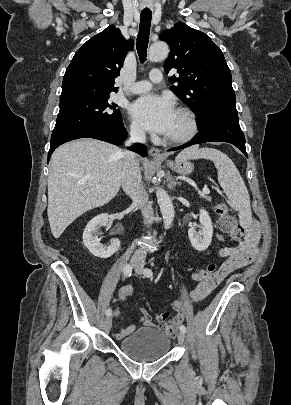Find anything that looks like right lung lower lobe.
I'll list each match as a JSON object with an SVG mask.
<instances>
[{
  "mask_svg": "<svg viewBox=\"0 0 291 405\" xmlns=\"http://www.w3.org/2000/svg\"><path fill=\"white\" fill-rule=\"evenodd\" d=\"M127 137V132L126 129L123 126V122L117 126H113L111 128H102V129H96V128H86V129H80L76 130L67 134H64L62 136H59L53 140H51L50 143V150L48 154V162L50 160L51 154L53 151L61 144L79 139V138H94V139H99L102 141H106L109 143H112L114 145H120L122 142L126 139ZM132 151L137 152L141 156L145 157L147 155L146 151V146L142 144H136L132 147L129 148Z\"/></svg>",
  "mask_w": 291,
  "mask_h": 405,
  "instance_id": "1",
  "label": "right lung lower lobe"
}]
</instances>
